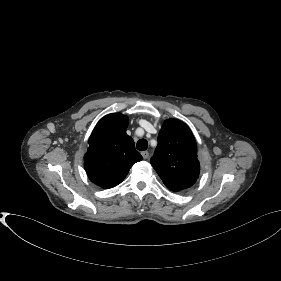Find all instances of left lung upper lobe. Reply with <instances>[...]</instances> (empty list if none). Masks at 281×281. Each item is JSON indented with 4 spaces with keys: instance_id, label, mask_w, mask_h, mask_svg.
Listing matches in <instances>:
<instances>
[{
    "instance_id": "5c2ea615",
    "label": "left lung upper lobe",
    "mask_w": 281,
    "mask_h": 281,
    "mask_svg": "<svg viewBox=\"0 0 281 281\" xmlns=\"http://www.w3.org/2000/svg\"><path fill=\"white\" fill-rule=\"evenodd\" d=\"M150 163L172 191L187 189L196 182L200 172L197 145L184 122L177 119L164 122Z\"/></svg>"
}]
</instances>
